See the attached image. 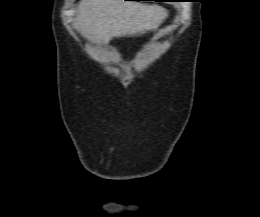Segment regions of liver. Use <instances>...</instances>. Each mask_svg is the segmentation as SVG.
Listing matches in <instances>:
<instances>
[{
    "instance_id": "1",
    "label": "liver",
    "mask_w": 260,
    "mask_h": 217,
    "mask_svg": "<svg viewBox=\"0 0 260 217\" xmlns=\"http://www.w3.org/2000/svg\"><path fill=\"white\" fill-rule=\"evenodd\" d=\"M167 16V11L157 5L122 0H82L75 28L91 41L108 43L113 37L154 30Z\"/></svg>"
}]
</instances>
